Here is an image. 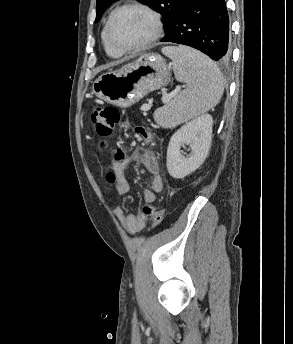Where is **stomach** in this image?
<instances>
[{
  "mask_svg": "<svg viewBox=\"0 0 293 344\" xmlns=\"http://www.w3.org/2000/svg\"><path fill=\"white\" fill-rule=\"evenodd\" d=\"M170 68L158 54H144L120 69L101 75L93 84V93L119 107H129L148 93L166 86Z\"/></svg>",
  "mask_w": 293,
  "mask_h": 344,
  "instance_id": "1",
  "label": "stomach"
}]
</instances>
